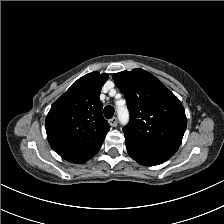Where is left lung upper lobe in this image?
Here are the masks:
<instances>
[{
	"label": "left lung upper lobe",
	"mask_w": 224,
	"mask_h": 224,
	"mask_svg": "<svg viewBox=\"0 0 224 224\" xmlns=\"http://www.w3.org/2000/svg\"><path fill=\"white\" fill-rule=\"evenodd\" d=\"M113 79L130 112V122L123 129L125 138L175 153L187 125L179 99L142 69L116 73Z\"/></svg>",
	"instance_id": "1"
}]
</instances>
